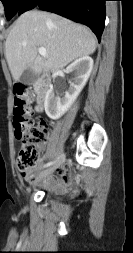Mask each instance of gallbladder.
Here are the masks:
<instances>
[{"label": "gallbladder", "mask_w": 133, "mask_h": 253, "mask_svg": "<svg viewBox=\"0 0 133 253\" xmlns=\"http://www.w3.org/2000/svg\"><path fill=\"white\" fill-rule=\"evenodd\" d=\"M37 77V74L28 68L22 73L19 82L23 85H32L36 81Z\"/></svg>", "instance_id": "bac80fb5"}]
</instances>
